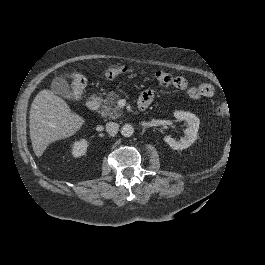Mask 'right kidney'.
Here are the masks:
<instances>
[{
    "mask_svg": "<svg viewBox=\"0 0 265 265\" xmlns=\"http://www.w3.org/2000/svg\"><path fill=\"white\" fill-rule=\"evenodd\" d=\"M88 143L85 139H81L80 141L74 142L72 146V155L74 157H81L85 155L87 151Z\"/></svg>",
    "mask_w": 265,
    "mask_h": 265,
    "instance_id": "right-kidney-1",
    "label": "right kidney"
}]
</instances>
